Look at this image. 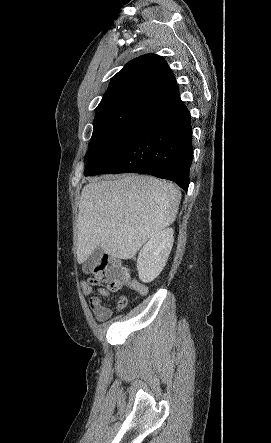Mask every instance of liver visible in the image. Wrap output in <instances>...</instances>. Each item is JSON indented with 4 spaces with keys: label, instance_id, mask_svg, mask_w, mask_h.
<instances>
[{
    "label": "liver",
    "instance_id": "1",
    "mask_svg": "<svg viewBox=\"0 0 271 443\" xmlns=\"http://www.w3.org/2000/svg\"><path fill=\"white\" fill-rule=\"evenodd\" d=\"M84 186L79 200L77 261L96 247L132 259L152 235L175 222L181 192L171 182L150 176H104Z\"/></svg>",
    "mask_w": 271,
    "mask_h": 443
}]
</instances>
